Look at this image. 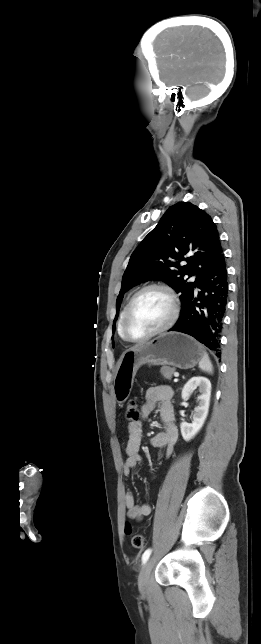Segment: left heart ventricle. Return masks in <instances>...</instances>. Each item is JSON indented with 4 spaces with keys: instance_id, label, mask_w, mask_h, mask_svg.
<instances>
[{
    "instance_id": "b2bd125f",
    "label": "left heart ventricle",
    "mask_w": 261,
    "mask_h": 644,
    "mask_svg": "<svg viewBox=\"0 0 261 644\" xmlns=\"http://www.w3.org/2000/svg\"><path fill=\"white\" fill-rule=\"evenodd\" d=\"M171 314V303L167 294L151 289L135 301L128 320V330L133 337H143L160 328Z\"/></svg>"
}]
</instances>
